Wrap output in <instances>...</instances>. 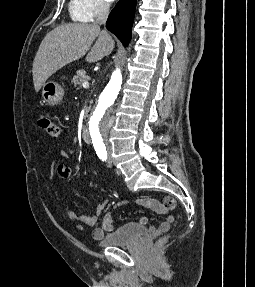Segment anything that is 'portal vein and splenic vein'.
I'll use <instances>...</instances> for the list:
<instances>
[{
    "mask_svg": "<svg viewBox=\"0 0 255 287\" xmlns=\"http://www.w3.org/2000/svg\"><path fill=\"white\" fill-rule=\"evenodd\" d=\"M83 88H89V82H84V84H82Z\"/></svg>",
    "mask_w": 255,
    "mask_h": 287,
    "instance_id": "obj_1",
    "label": "portal vein and splenic vein"
}]
</instances>
